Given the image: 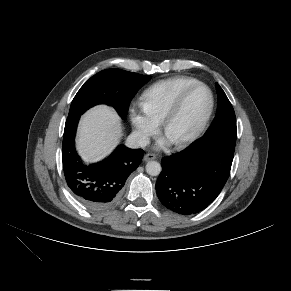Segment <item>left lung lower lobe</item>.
<instances>
[{"mask_svg":"<svg viewBox=\"0 0 291 291\" xmlns=\"http://www.w3.org/2000/svg\"><path fill=\"white\" fill-rule=\"evenodd\" d=\"M236 136L231 131L205 135L185 150L164 157L156 182L161 203L182 215L207 208L229 177Z\"/></svg>","mask_w":291,"mask_h":291,"instance_id":"left-lung-lower-lobe-1","label":"left lung lower lobe"}]
</instances>
